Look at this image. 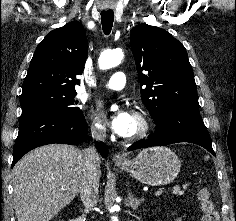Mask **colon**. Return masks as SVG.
<instances>
[{"instance_id": "5ec220e1", "label": "colon", "mask_w": 236, "mask_h": 221, "mask_svg": "<svg viewBox=\"0 0 236 221\" xmlns=\"http://www.w3.org/2000/svg\"><path fill=\"white\" fill-rule=\"evenodd\" d=\"M198 199L203 212L202 221H218L219 215L208 189L200 188L198 190Z\"/></svg>"}]
</instances>
